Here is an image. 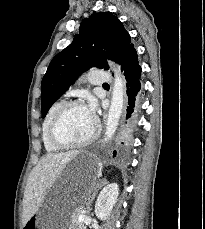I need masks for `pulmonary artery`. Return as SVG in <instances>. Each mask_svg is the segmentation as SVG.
<instances>
[{"instance_id":"obj_1","label":"pulmonary artery","mask_w":205,"mask_h":229,"mask_svg":"<svg viewBox=\"0 0 205 229\" xmlns=\"http://www.w3.org/2000/svg\"><path fill=\"white\" fill-rule=\"evenodd\" d=\"M87 77L89 82L94 85H103L112 80V77L108 72L99 69L90 70Z\"/></svg>"}]
</instances>
